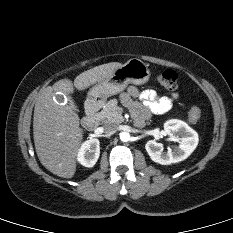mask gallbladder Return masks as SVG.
I'll list each match as a JSON object with an SVG mask.
<instances>
[{
    "label": "gallbladder",
    "mask_w": 233,
    "mask_h": 233,
    "mask_svg": "<svg viewBox=\"0 0 233 233\" xmlns=\"http://www.w3.org/2000/svg\"><path fill=\"white\" fill-rule=\"evenodd\" d=\"M70 105H71V107H72L74 110H78L77 106H76V105H74L73 103H72V104H70Z\"/></svg>",
    "instance_id": "1"
}]
</instances>
